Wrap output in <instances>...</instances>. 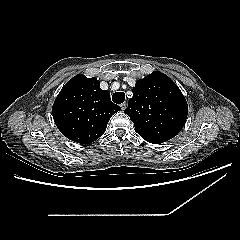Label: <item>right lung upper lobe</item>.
<instances>
[{
  "mask_svg": "<svg viewBox=\"0 0 240 240\" xmlns=\"http://www.w3.org/2000/svg\"><path fill=\"white\" fill-rule=\"evenodd\" d=\"M120 107L110 99V92L100 88L95 77L77 75L56 97L52 113L60 132L68 139L88 144L97 140L106 130L110 117Z\"/></svg>",
  "mask_w": 240,
  "mask_h": 240,
  "instance_id": "right-lung-upper-lobe-1",
  "label": "right lung upper lobe"
}]
</instances>
